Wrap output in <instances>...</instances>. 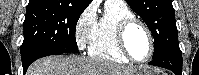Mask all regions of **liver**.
Masks as SVG:
<instances>
[{
    "label": "liver",
    "instance_id": "6515ba94",
    "mask_svg": "<svg viewBox=\"0 0 199 75\" xmlns=\"http://www.w3.org/2000/svg\"><path fill=\"white\" fill-rule=\"evenodd\" d=\"M135 68L82 56H49L35 61L26 75H132Z\"/></svg>",
    "mask_w": 199,
    "mask_h": 75
}]
</instances>
